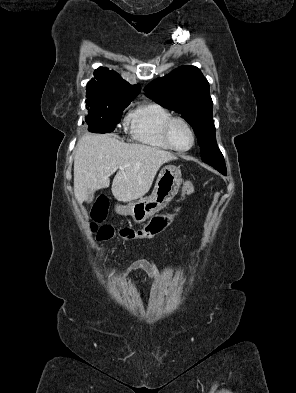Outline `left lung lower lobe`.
<instances>
[{
	"label": "left lung lower lobe",
	"instance_id": "1",
	"mask_svg": "<svg viewBox=\"0 0 296 393\" xmlns=\"http://www.w3.org/2000/svg\"><path fill=\"white\" fill-rule=\"evenodd\" d=\"M220 172V171H219ZM223 175H226L227 174V171H222L221 172Z\"/></svg>",
	"mask_w": 296,
	"mask_h": 393
}]
</instances>
